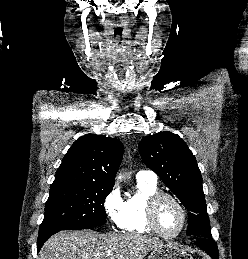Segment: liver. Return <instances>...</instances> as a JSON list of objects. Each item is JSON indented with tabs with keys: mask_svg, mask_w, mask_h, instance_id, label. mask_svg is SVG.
I'll return each mask as SVG.
<instances>
[{
	"mask_svg": "<svg viewBox=\"0 0 248 259\" xmlns=\"http://www.w3.org/2000/svg\"><path fill=\"white\" fill-rule=\"evenodd\" d=\"M163 246L162 242L137 233L60 231L44 243L38 259H143Z\"/></svg>",
	"mask_w": 248,
	"mask_h": 259,
	"instance_id": "obj_1",
	"label": "liver"
}]
</instances>
